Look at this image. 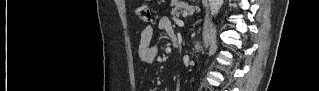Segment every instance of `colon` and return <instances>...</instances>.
I'll use <instances>...</instances> for the list:
<instances>
[{
	"label": "colon",
	"instance_id": "obj_1",
	"mask_svg": "<svg viewBox=\"0 0 319 91\" xmlns=\"http://www.w3.org/2000/svg\"><path fill=\"white\" fill-rule=\"evenodd\" d=\"M136 15L144 22L151 23L153 21L151 11L148 5H140L136 9Z\"/></svg>",
	"mask_w": 319,
	"mask_h": 91
}]
</instances>
